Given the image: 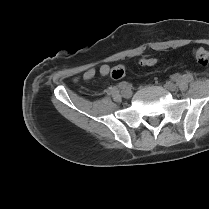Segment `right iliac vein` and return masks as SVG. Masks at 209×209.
I'll use <instances>...</instances> for the list:
<instances>
[{
    "mask_svg": "<svg viewBox=\"0 0 209 209\" xmlns=\"http://www.w3.org/2000/svg\"><path fill=\"white\" fill-rule=\"evenodd\" d=\"M121 94L125 98H130L132 96V91L131 89L127 88V89L122 90Z\"/></svg>",
    "mask_w": 209,
    "mask_h": 209,
    "instance_id": "1",
    "label": "right iliac vein"
}]
</instances>
